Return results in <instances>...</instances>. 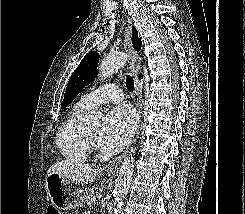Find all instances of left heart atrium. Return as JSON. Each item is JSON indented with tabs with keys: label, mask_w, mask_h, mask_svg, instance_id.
<instances>
[{
	"label": "left heart atrium",
	"mask_w": 245,
	"mask_h": 214,
	"mask_svg": "<svg viewBox=\"0 0 245 214\" xmlns=\"http://www.w3.org/2000/svg\"><path fill=\"white\" fill-rule=\"evenodd\" d=\"M136 120L133 111L127 106L113 109L105 118L98 133V143L107 153H116L131 139Z\"/></svg>",
	"instance_id": "left-heart-atrium-1"
}]
</instances>
